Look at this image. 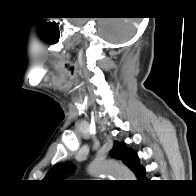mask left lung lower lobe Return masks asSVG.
<instances>
[{
    "label": "left lung lower lobe",
    "mask_w": 196,
    "mask_h": 196,
    "mask_svg": "<svg viewBox=\"0 0 196 196\" xmlns=\"http://www.w3.org/2000/svg\"><path fill=\"white\" fill-rule=\"evenodd\" d=\"M133 172H134L137 180H144L145 179V168L140 165L138 156L135 159V165L133 168Z\"/></svg>",
    "instance_id": "0a47b994"
}]
</instances>
